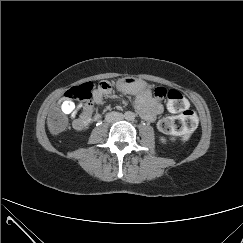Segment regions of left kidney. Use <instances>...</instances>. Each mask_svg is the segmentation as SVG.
<instances>
[{
  "label": "left kidney",
  "mask_w": 243,
  "mask_h": 243,
  "mask_svg": "<svg viewBox=\"0 0 243 243\" xmlns=\"http://www.w3.org/2000/svg\"><path fill=\"white\" fill-rule=\"evenodd\" d=\"M160 141H161V143H163V144H166V138L165 137H160Z\"/></svg>",
  "instance_id": "1"
}]
</instances>
